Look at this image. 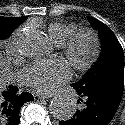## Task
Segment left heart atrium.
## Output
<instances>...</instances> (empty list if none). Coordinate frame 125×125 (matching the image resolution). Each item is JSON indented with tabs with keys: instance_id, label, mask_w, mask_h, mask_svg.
<instances>
[{
	"instance_id": "left-heart-atrium-1",
	"label": "left heart atrium",
	"mask_w": 125,
	"mask_h": 125,
	"mask_svg": "<svg viewBox=\"0 0 125 125\" xmlns=\"http://www.w3.org/2000/svg\"><path fill=\"white\" fill-rule=\"evenodd\" d=\"M70 78V70L62 61H39L21 73V79L27 86L40 93H49Z\"/></svg>"
}]
</instances>
